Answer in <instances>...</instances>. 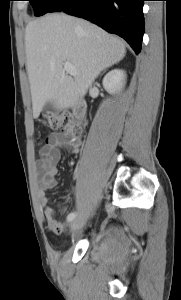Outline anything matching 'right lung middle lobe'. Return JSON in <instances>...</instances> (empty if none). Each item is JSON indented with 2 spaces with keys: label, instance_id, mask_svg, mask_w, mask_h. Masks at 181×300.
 <instances>
[{
  "label": "right lung middle lobe",
  "instance_id": "obj_1",
  "mask_svg": "<svg viewBox=\"0 0 181 300\" xmlns=\"http://www.w3.org/2000/svg\"><path fill=\"white\" fill-rule=\"evenodd\" d=\"M35 10L36 16L44 15L47 12H53L62 0H28Z\"/></svg>",
  "mask_w": 181,
  "mask_h": 300
}]
</instances>
